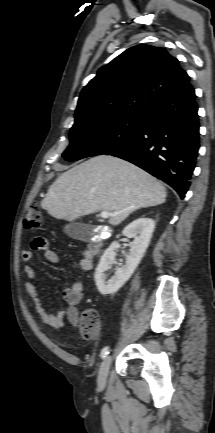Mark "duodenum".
Returning a JSON list of instances; mask_svg holds the SVG:
<instances>
[{
  "label": "duodenum",
  "instance_id": "1",
  "mask_svg": "<svg viewBox=\"0 0 215 433\" xmlns=\"http://www.w3.org/2000/svg\"><path fill=\"white\" fill-rule=\"evenodd\" d=\"M104 235L100 234L98 238L91 239L88 245V250L92 255L99 253L103 246Z\"/></svg>",
  "mask_w": 215,
  "mask_h": 433
}]
</instances>
